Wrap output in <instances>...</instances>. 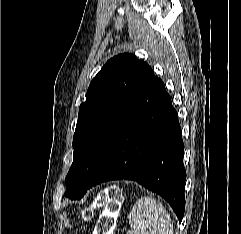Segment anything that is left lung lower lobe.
<instances>
[{
    "label": "left lung lower lobe",
    "instance_id": "1",
    "mask_svg": "<svg viewBox=\"0 0 241 234\" xmlns=\"http://www.w3.org/2000/svg\"><path fill=\"white\" fill-rule=\"evenodd\" d=\"M178 115L161 79L154 77L112 141L88 188L134 180L162 196L181 222L186 171Z\"/></svg>",
    "mask_w": 241,
    "mask_h": 234
}]
</instances>
